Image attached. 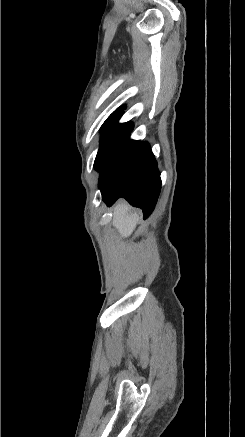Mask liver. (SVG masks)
Segmentation results:
<instances>
[{"label": "liver", "instance_id": "6515ba94", "mask_svg": "<svg viewBox=\"0 0 245 437\" xmlns=\"http://www.w3.org/2000/svg\"><path fill=\"white\" fill-rule=\"evenodd\" d=\"M138 220V214L129 212L128 204L120 203L114 208L112 224L121 237H129L136 228Z\"/></svg>", "mask_w": 245, "mask_h": 437}]
</instances>
